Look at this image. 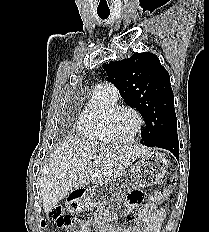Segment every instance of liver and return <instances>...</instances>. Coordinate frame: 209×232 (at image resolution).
<instances>
[{"mask_svg":"<svg viewBox=\"0 0 209 232\" xmlns=\"http://www.w3.org/2000/svg\"><path fill=\"white\" fill-rule=\"evenodd\" d=\"M149 151L139 145H103L69 139L50 155L41 170L40 198L45 213L74 189L107 184ZM93 161H97L96 165Z\"/></svg>","mask_w":209,"mask_h":232,"instance_id":"1","label":"liver"}]
</instances>
